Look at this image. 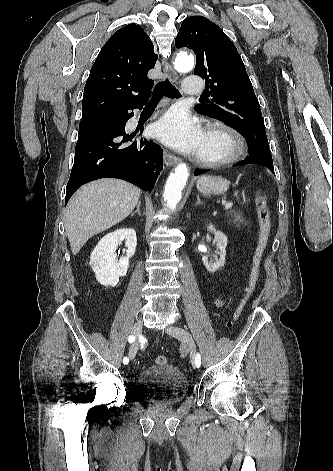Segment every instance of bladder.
<instances>
[{"mask_svg": "<svg viewBox=\"0 0 333 471\" xmlns=\"http://www.w3.org/2000/svg\"><path fill=\"white\" fill-rule=\"evenodd\" d=\"M189 382L185 374L171 364L150 365L134 381L135 395L149 404L173 405L187 394Z\"/></svg>", "mask_w": 333, "mask_h": 471, "instance_id": "bladder-1", "label": "bladder"}]
</instances>
